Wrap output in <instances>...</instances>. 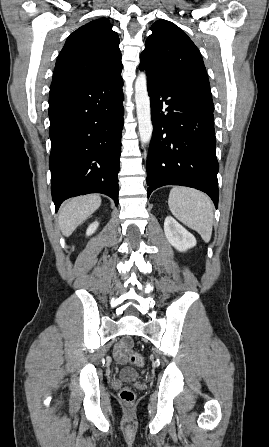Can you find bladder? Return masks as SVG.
Here are the masks:
<instances>
[{
    "label": "bladder",
    "instance_id": "obj_1",
    "mask_svg": "<svg viewBox=\"0 0 269 447\" xmlns=\"http://www.w3.org/2000/svg\"><path fill=\"white\" fill-rule=\"evenodd\" d=\"M120 378L128 381H134L137 380L138 373L133 367H126L122 369Z\"/></svg>",
    "mask_w": 269,
    "mask_h": 447
}]
</instances>
